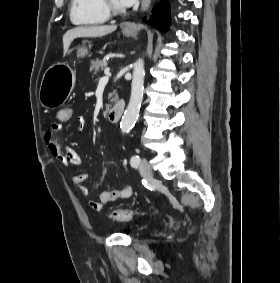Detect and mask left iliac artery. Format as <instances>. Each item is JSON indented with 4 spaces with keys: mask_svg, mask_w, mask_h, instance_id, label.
Instances as JSON below:
<instances>
[{
    "mask_svg": "<svg viewBox=\"0 0 280 283\" xmlns=\"http://www.w3.org/2000/svg\"><path fill=\"white\" fill-rule=\"evenodd\" d=\"M139 163H140V157L138 155L133 156L130 160V164L134 168H137Z\"/></svg>",
    "mask_w": 280,
    "mask_h": 283,
    "instance_id": "1",
    "label": "left iliac artery"
}]
</instances>
